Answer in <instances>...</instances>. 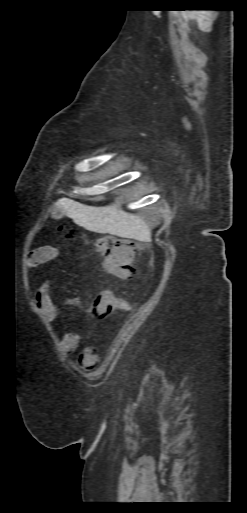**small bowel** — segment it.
Returning a JSON list of instances; mask_svg holds the SVG:
<instances>
[{"label": "small bowel", "mask_w": 247, "mask_h": 513, "mask_svg": "<svg viewBox=\"0 0 247 513\" xmlns=\"http://www.w3.org/2000/svg\"><path fill=\"white\" fill-rule=\"evenodd\" d=\"M54 248L46 246L39 248L32 252L27 258L26 268L30 273L39 265L49 261L54 255ZM52 284L50 281H44L35 291V300L40 309L42 318L49 324L53 323L57 318V309L51 299L50 289ZM98 300V299H95ZM94 300V301H95ZM73 305L80 308L88 314H92V303L87 304L80 299H73ZM80 337L75 332L66 333L60 340V351L64 356L72 354L78 347ZM97 355L93 349H87L81 357V365L84 369H89L94 366Z\"/></svg>", "instance_id": "obj_1"}]
</instances>
